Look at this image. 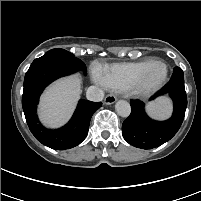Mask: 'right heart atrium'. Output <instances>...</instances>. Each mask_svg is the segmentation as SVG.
<instances>
[{
    "instance_id": "obj_1",
    "label": "right heart atrium",
    "mask_w": 201,
    "mask_h": 201,
    "mask_svg": "<svg viewBox=\"0 0 201 201\" xmlns=\"http://www.w3.org/2000/svg\"><path fill=\"white\" fill-rule=\"evenodd\" d=\"M93 77L96 83H98L102 87H106V84L102 75V71L99 68L97 67L94 68Z\"/></svg>"
}]
</instances>
